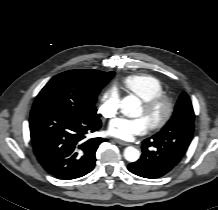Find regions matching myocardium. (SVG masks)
<instances>
[{
	"mask_svg": "<svg viewBox=\"0 0 218 210\" xmlns=\"http://www.w3.org/2000/svg\"><path fill=\"white\" fill-rule=\"evenodd\" d=\"M142 106L148 113L153 112L159 107L163 108L162 116L150 123L152 130L163 128L171 119L174 111L172 99L164 93L142 100Z\"/></svg>",
	"mask_w": 218,
	"mask_h": 210,
	"instance_id": "f54148a6",
	"label": "myocardium"
}]
</instances>
